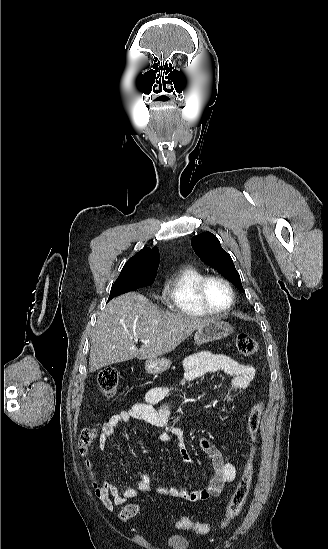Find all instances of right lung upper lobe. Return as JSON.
Segmentation results:
<instances>
[{"label":"right lung upper lobe","mask_w":328,"mask_h":549,"mask_svg":"<svg viewBox=\"0 0 328 549\" xmlns=\"http://www.w3.org/2000/svg\"><path fill=\"white\" fill-rule=\"evenodd\" d=\"M146 264L159 265V251L156 247L143 248L141 251L136 253L126 262L121 272Z\"/></svg>","instance_id":"right-lung-upper-lobe-1"}]
</instances>
